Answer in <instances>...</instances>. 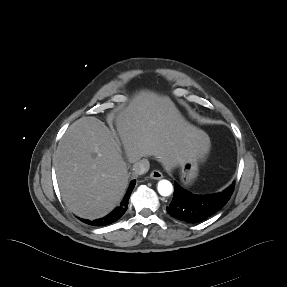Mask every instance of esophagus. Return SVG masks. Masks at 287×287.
<instances>
[{"mask_svg":"<svg viewBox=\"0 0 287 287\" xmlns=\"http://www.w3.org/2000/svg\"><path fill=\"white\" fill-rule=\"evenodd\" d=\"M150 177L155 180L163 178V174L158 170H153L150 174Z\"/></svg>","mask_w":287,"mask_h":287,"instance_id":"34e87169","label":"esophagus"}]
</instances>
